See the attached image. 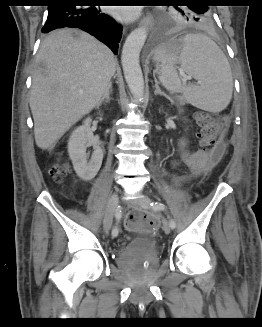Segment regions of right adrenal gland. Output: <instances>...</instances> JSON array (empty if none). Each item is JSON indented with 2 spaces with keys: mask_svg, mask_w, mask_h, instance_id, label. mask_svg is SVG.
<instances>
[{
  "mask_svg": "<svg viewBox=\"0 0 262 327\" xmlns=\"http://www.w3.org/2000/svg\"><path fill=\"white\" fill-rule=\"evenodd\" d=\"M112 92V82L109 83L106 92L104 93L102 99L100 100V102L98 103L97 107L99 108V106L102 105V103L106 102L109 103L110 102V94Z\"/></svg>",
  "mask_w": 262,
  "mask_h": 327,
  "instance_id": "2a0ac1e0",
  "label": "right adrenal gland"
}]
</instances>
